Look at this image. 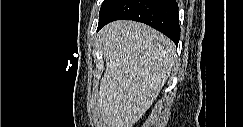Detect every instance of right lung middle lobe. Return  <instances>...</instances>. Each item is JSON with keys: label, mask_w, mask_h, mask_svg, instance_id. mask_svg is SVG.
Returning a JSON list of instances; mask_svg holds the SVG:
<instances>
[{"label": "right lung middle lobe", "mask_w": 243, "mask_h": 127, "mask_svg": "<svg viewBox=\"0 0 243 127\" xmlns=\"http://www.w3.org/2000/svg\"><path fill=\"white\" fill-rule=\"evenodd\" d=\"M111 0H104L102 5H101V9L100 11L110 2Z\"/></svg>", "instance_id": "1"}]
</instances>
